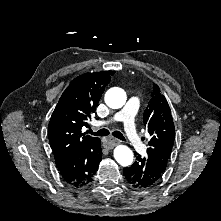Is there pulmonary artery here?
Segmentation results:
<instances>
[{
	"label": "pulmonary artery",
	"mask_w": 221,
	"mask_h": 221,
	"mask_svg": "<svg viewBox=\"0 0 221 221\" xmlns=\"http://www.w3.org/2000/svg\"><path fill=\"white\" fill-rule=\"evenodd\" d=\"M139 104V97L133 96L129 99L126 106L115 113L112 117L107 118L100 122V126H107L113 122H123L124 130L128 137L130 144L137 150L142 153H145V148L142 143L140 136L137 133L136 124H135V113Z\"/></svg>",
	"instance_id": "1"
}]
</instances>
